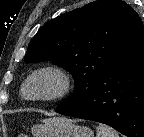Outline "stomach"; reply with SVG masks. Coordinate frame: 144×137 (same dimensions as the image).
I'll list each match as a JSON object with an SVG mask.
<instances>
[{
  "label": "stomach",
  "mask_w": 144,
  "mask_h": 137,
  "mask_svg": "<svg viewBox=\"0 0 144 137\" xmlns=\"http://www.w3.org/2000/svg\"><path fill=\"white\" fill-rule=\"evenodd\" d=\"M34 137H93V131L65 117H54L31 128Z\"/></svg>",
  "instance_id": "1"
}]
</instances>
